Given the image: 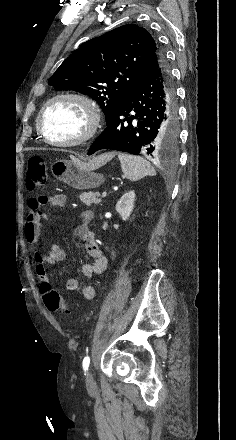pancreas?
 <instances>
[{
    "label": "pancreas",
    "mask_w": 236,
    "mask_h": 440,
    "mask_svg": "<svg viewBox=\"0 0 236 440\" xmlns=\"http://www.w3.org/2000/svg\"><path fill=\"white\" fill-rule=\"evenodd\" d=\"M100 194L98 192H88L83 193L79 196L80 200L87 206H91V204L100 203V199L98 198Z\"/></svg>",
    "instance_id": "1"
}]
</instances>
